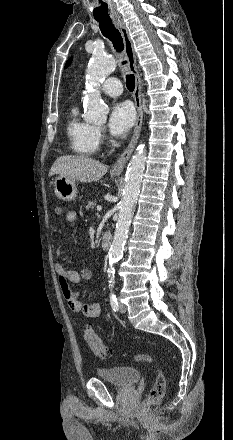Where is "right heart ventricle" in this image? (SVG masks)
<instances>
[{
  "instance_id": "e07e8e85",
  "label": "right heart ventricle",
  "mask_w": 233,
  "mask_h": 440,
  "mask_svg": "<svg viewBox=\"0 0 233 440\" xmlns=\"http://www.w3.org/2000/svg\"><path fill=\"white\" fill-rule=\"evenodd\" d=\"M66 133L70 147L77 155L89 157L97 153L99 149L97 129L91 123L81 119L77 106L69 111Z\"/></svg>"
}]
</instances>
